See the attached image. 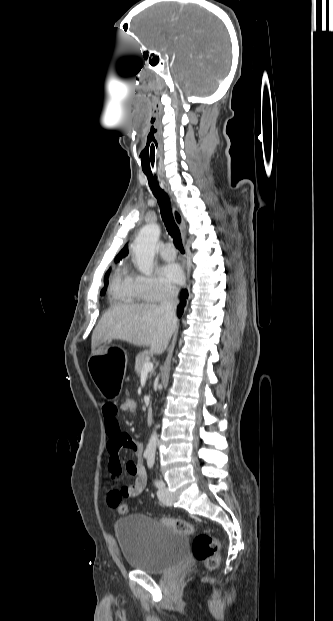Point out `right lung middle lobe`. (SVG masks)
I'll list each match as a JSON object with an SVG mask.
<instances>
[{
	"label": "right lung middle lobe",
	"instance_id": "obj_1",
	"mask_svg": "<svg viewBox=\"0 0 333 621\" xmlns=\"http://www.w3.org/2000/svg\"><path fill=\"white\" fill-rule=\"evenodd\" d=\"M109 275V270L107 271L105 277H104V288L101 290V295H104L107 289V277Z\"/></svg>",
	"mask_w": 333,
	"mask_h": 621
}]
</instances>
